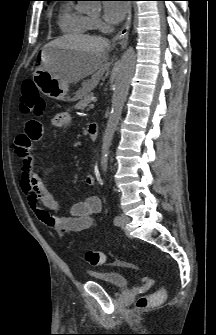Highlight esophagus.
<instances>
[{
    "instance_id": "esophagus-1",
    "label": "esophagus",
    "mask_w": 216,
    "mask_h": 335,
    "mask_svg": "<svg viewBox=\"0 0 216 335\" xmlns=\"http://www.w3.org/2000/svg\"><path fill=\"white\" fill-rule=\"evenodd\" d=\"M131 19H132V7L130 4L129 14L127 16L125 25L114 37V42L117 44H120L123 48L126 47L128 43V34H129L130 26H131Z\"/></svg>"
}]
</instances>
